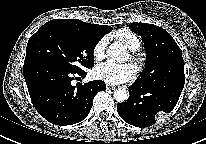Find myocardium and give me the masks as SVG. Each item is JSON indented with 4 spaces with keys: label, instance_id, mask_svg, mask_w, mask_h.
I'll return each instance as SVG.
<instances>
[{
    "label": "myocardium",
    "instance_id": "f54148a6",
    "mask_svg": "<svg viewBox=\"0 0 206 144\" xmlns=\"http://www.w3.org/2000/svg\"><path fill=\"white\" fill-rule=\"evenodd\" d=\"M134 59H135V62H136L139 66L142 65V59H141L140 57H135Z\"/></svg>",
    "mask_w": 206,
    "mask_h": 144
}]
</instances>
